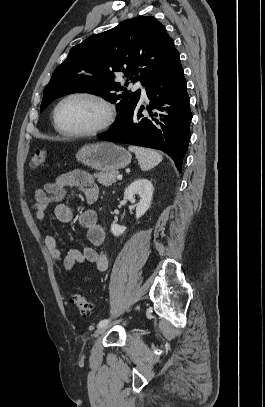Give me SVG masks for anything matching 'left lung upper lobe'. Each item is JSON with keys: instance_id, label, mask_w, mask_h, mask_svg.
<instances>
[{"instance_id": "obj_1", "label": "left lung upper lobe", "mask_w": 265, "mask_h": 407, "mask_svg": "<svg viewBox=\"0 0 265 407\" xmlns=\"http://www.w3.org/2000/svg\"><path fill=\"white\" fill-rule=\"evenodd\" d=\"M179 64L174 41L159 21L152 16L130 19L87 38L70 50L44 90L40 112L56 98L88 92L117 103L114 128L135 109L141 92H127L114 81V72L122 71L129 82L140 80L147 87L152 80L167 75ZM118 91L124 92L117 94Z\"/></svg>"}]
</instances>
